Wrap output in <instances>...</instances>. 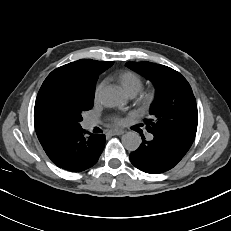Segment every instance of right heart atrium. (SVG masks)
Masks as SVG:
<instances>
[{
    "label": "right heart atrium",
    "instance_id": "obj_1",
    "mask_svg": "<svg viewBox=\"0 0 231 231\" xmlns=\"http://www.w3.org/2000/svg\"><path fill=\"white\" fill-rule=\"evenodd\" d=\"M103 85H104L103 83H100V84L97 85V87L95 89V97L96 98L99 96V94H100V92H101V90L103 88Z\"/></svg>",
    "mask_w": 231,
    "mask_h": 231
}]
</instances>
